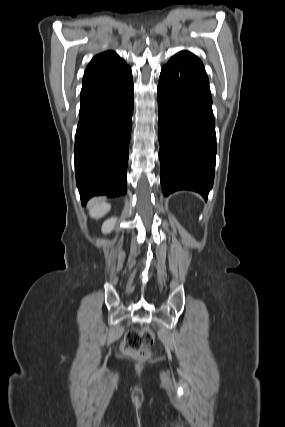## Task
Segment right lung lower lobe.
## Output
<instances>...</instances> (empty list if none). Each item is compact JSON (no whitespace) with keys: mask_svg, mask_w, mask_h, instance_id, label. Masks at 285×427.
I'll list each match as a JSON object with an SVG mask.
<instances>
[{"mask_svg":"<svg viewBox=\"0 0 285 427\" xmlns=\"http://www.w3.org/2000/svg\"><path fill=\"white\" fill-rule=\"evenodd\" d=\"M76 131L75 170L82 205L94 195L126 194L133 113V81L127 66L82 87Z\"/></svg>","mask_w":285,"mask_h":427,"instance_id":"right-lung-lower-lobe-1","label":"right lung lower lobe"}]
</instances>
